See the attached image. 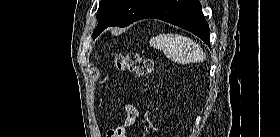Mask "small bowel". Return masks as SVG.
Listing matches in <instances>:
<instances>
[{
    "instance_id": "obj_1",
    "label": "small bowel",
    "mask_w": 280,
    "mask_h": 137,
    "mask_svg": "<svg viewBox=\"0 0 280 137\" xmlns=\"http://www.w3.org/2000/svg\"><path fill=\"white\" fill-rule=\"evenodd\" d=\"M125 119L123 125L130 127L135 124L139 116L138 108L131 104L124 105Z\"/></svg>"
}]
</instances>
